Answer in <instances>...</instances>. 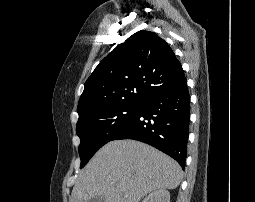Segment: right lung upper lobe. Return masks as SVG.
Masks as SVG:
<instances>
[{
  "label": "right lung upper lobe",
  "instance_id": "right-lung-upper-lobe-1",
  "mask_svg": "<svg viewBox=\"0 0 255 202\" xmlns=\"http://www.w3.org/2000/svg\"><path fill=\"white\" fill-rule=\"evenodd\" d=\"M186 81L174 52L157 34L138 31L95 68L79 99V118L108 106L142 104Z\"/></svg>",
  "mask_w": 255,
  "mask_h": 202
}]
</instances>
